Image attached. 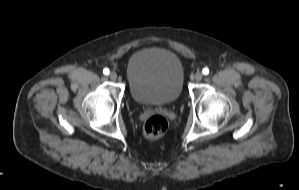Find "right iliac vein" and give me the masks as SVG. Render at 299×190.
Segmentation results:
<instances>
[{
	"instance_id": "obj_1",
	"label": "right iliac vein",
	"mask_w": 299,
	"mask_h": 190,
	"mask_svg": "<svg viewBox=\"0 0 299 190\" xmlns=\"http://www.w3.org/2000/svg\"><path fill=\"white\" fill-rule=\"evenodd\" d=\"M109 77L111 80H116L117 79V73L112 71L110 74H109Z\"/></svg>"
}]
</instances>
